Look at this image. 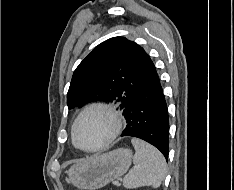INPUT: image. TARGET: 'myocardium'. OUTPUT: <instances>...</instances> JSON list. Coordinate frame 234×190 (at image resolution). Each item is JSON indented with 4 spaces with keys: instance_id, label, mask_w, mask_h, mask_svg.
I'll return each mask as SVG.
<instances>
[{
    "instance_id": "f54148a6",
    "label": "myocardium",
    "mask_w": 234,
    "mask_h": 190,
    "mask_svg": "<svg viewBox=\"0 0 234 190\" xmlns=\"http://www.w3.org/2000/svg\"><path fill=\"white\" fill-rule=\"evenodd\" d=\"M93 111H101L105 113L111 120L112 129L108 137L104 141H102L100 144L91 148H85L82 145H80L77 140V130H78V126L81 120L87 114ZM121 128H122V120H121L119 113L114 107H112L109 104L102 103V102L92 103V104L87 105L77 116L72 127V141L74 145L78 147L79 149H81L82 151L95 152L109 145L119 135Z\"/></svg>"
}]
</instances>
